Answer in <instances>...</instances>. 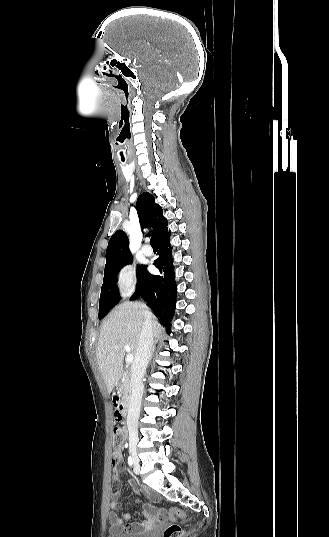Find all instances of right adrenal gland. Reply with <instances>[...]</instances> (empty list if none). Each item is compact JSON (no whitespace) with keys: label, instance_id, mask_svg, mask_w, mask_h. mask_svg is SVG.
<instances>
[{"label":"right adrenal gland","instance_id":"obj_1","mask_svg":"<svg viewBox=\"0 0 329 537\" xmlns=\"http://www.w3.org/2000/svg\"><path fill=\"white\" fill-rule=\"evenodd\" d=\"M155 344H156V341H155L154 345L152 346L150 357H149V360H148V364L150 363V361H151V359L153 357V353H154V350H155Z\"/></svg>","mask_w":329,"mask_h":537}]
</instances>
